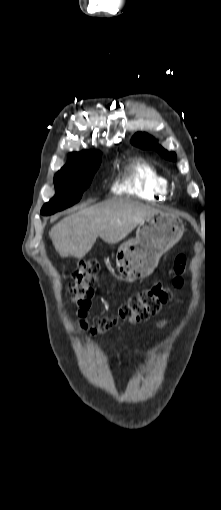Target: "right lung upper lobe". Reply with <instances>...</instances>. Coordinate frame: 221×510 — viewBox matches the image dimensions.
I'll use <instances>...</instances> for the list:
<instances>
[{"label":"right lung upper lobe","instance_id":"obj_1","mask_svg":"<svg viewBox=\"0 0 221 510\" xmlns=\"http://www.w3.org/2000/svg\"><path fill=\"white\" fill-rule=\"evenodd\" d=\"M100 157V153L97 151H82V152H73L68 155V163L66 166L70 165H79L86 160Z\"/></svg>","mask_w":221,"mask_h":510}]
</instances>
